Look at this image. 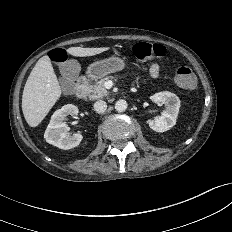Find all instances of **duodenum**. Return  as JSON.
Instances as JSON below:
<instances>
[{"label": "duodenum", "instance_id": "410a0bca", "mask_svg": "<svg viewBox=\"0 0 232 232\" xmlns=\"http://www.w3.org/2000/svg\"><path fill=\"white\" fill-rule=\"evenodd\" d=\"M88 80L86 77H80L76 83V95L78 98H85L87 94Z\"/></svg>", "mask_w": 232, "mask_h": 232}]
</instances>
